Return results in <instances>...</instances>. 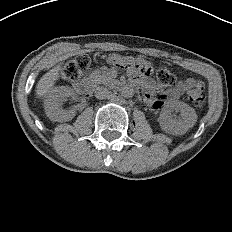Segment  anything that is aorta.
<instances>
[{
  "instance_id": "762f6f07",
  "label": "aorta",
  "mask_w": 232,
  "mask_h": 232,
  "mask_svg": "<svg viewBox=\"0 0 232 232\" xmlns=\"http://www.w3.org/2000/svg\"><path fill=\"white\" fill-rule=\"evenodd\" d=\"M135 90L131 85H124L120 89V95L126 99L134 96Z\"/></svg>"
}]
</instances>
